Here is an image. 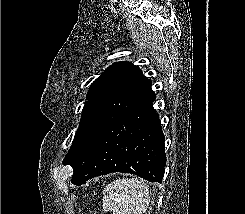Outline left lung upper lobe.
Instances as JSON below:
<instances>
[{"instance_id": "left-lung-upper-lobe-1", "label": "left lung upper lobe", "mask_w": 245, "mask_h": 214, "mask_svg": "<svg viewBox=\"0 0 245 214\" xmlns=\"http://www.w3.org/2000/svg\"><path fill=\"white\" fill-rule=\"evenodd\" d=\"M152 81L130 62L113 63L90 86L83 114L63 164L80 155L114 121L153 94Z\"/></svg>"}]
</instances>
